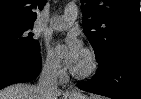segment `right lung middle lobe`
Segmentation results:
<instances>
[{
	"mask_svg": "<svg viewBox=\"0 0 141 99\" xmlns=\"http://www.w3.org/2000/svg\"><path fill=\"white\" fill-rule=\"evenodd\" d=\"M32 29L33 23H0V54L39 52V42L33 38Z\"/></svg>",
	"mask_w": 141,
	"mask_h": 99,
	"instance_id": "1",
	"label": "right lung middle lobe"
}]
</instances>
